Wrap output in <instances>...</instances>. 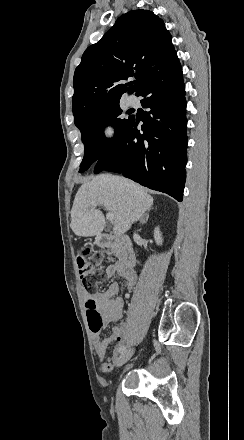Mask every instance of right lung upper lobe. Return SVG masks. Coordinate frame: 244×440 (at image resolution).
<instances>
[{
    "instance_id": "right-lung-upper-lobe-1",
    "label": "right lung upper lobe",
    "mask_w": 244,
    "mask_h": 440,
    "mask_svg": "<svg viewBox=\"0 0 244 440\" xmlns=\"http://www.w3.org/2000/svg\"><path fill=\"white\" fill-rule=\"evenodd\" d=\"M177 63L163 20L149 10L129 11L83 53L74 73L73 110L120 99L127 91L137 94L152 75ZM128 77L136 83L123 84Z\"/></svg>"
}]
</instances>
